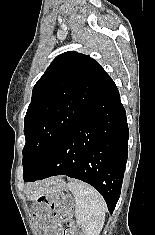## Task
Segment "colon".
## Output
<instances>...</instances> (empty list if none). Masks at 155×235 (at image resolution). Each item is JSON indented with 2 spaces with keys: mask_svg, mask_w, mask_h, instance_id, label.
Returning <instances> with one entry per match:
<instances>
[{
  "mask_svg": "<svg viewBox=\"0 0 155 235\" xmlns=\"http://www.w3.org/2000/svg\"><path fill=\"white\" fill-rule=\"evenodd\" d=\"M73 209L70 198L55 194H42L37 199L34 215L46 229L47 235H59L60 227L57 220H68ZM62 235H85L81 227L72 223Z\"/></svg>",
  "mask_w": 155,
  "mask_h": 235,
  "instance_id": "obj_1",
  "label": "colon"
}]
</instances>
